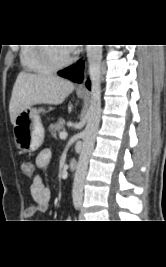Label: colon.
Instances as JSON below:
<instances>
[{
  "label": "colon",
  "instance_id": "colon-1",
  "mask_svg": "<svg viewBox=\"0 0 166 267\" xmlns=\"http://www.w3.org/2000/svg\"><path fill=\"white\" fill-rule=\"evenodd\" d=\"M23 172H24V178H33V169H34V165L30 162H26L23 164L22 166Z\"/></svg>",
  "mask_w": 166,
  "mask_h": 267
}]
</instances>
